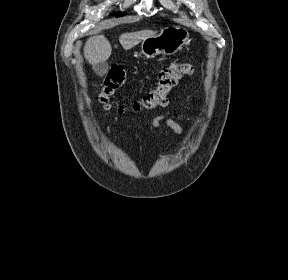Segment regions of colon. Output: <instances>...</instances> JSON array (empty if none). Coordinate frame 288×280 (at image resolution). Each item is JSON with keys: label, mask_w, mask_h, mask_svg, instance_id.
Listing matches in <instances>:
<instances>
[{"label": "colon", "mask_w": 288, "mask_h": 280, "mask_svg": "<svg viewBox=\"0 0 288 280\" xmlns=\"http://www.w3.org/2000/svg\"><path fill=\"white\" fill-rule=\"evenodd\" d=\"M191 73L192 66L189 63H172L169 67L159 72L157 87L141 100L134 103L133 109L136 111L154 110L157 107L165 106L167 103V95L177 84L178 80ZM124 81L125 73L123 69L118 65L112 66L103 81L99 94V100L106 108L110 106V97L122 86ZM120 111H123V109Z\"/></svg>", "instance_id": "obj_1"}]
</instances>
